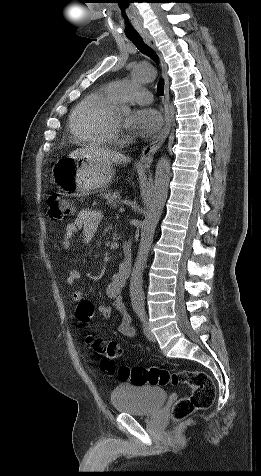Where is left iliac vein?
Wrapping results in <instances>:
<instances>
[{"instance_id":"left-iliac-vein-1","label":"left iliac vein","mask_w":261,"mask_h":476,"mask_svg":"<svg viewBox=\"0 0 261 476\" xmlns=\"http://www.w3.org/2000/svg\"><path fill=\"white\" fill-rule=\"evenodd\" d=\"M143 332L149 341L155 342V336L151 331L147 318H144Z\"/></svg>"}]
</instances>
